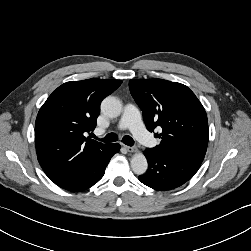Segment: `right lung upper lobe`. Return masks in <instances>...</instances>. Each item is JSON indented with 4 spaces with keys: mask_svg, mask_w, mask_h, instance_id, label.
<instances>
[{
    "mask_svg": "<svg viewBox=\"0 0 251 251\" xmlns=\"http://www.w3.org/2000/svg\"><path fill=\"white\" fill-rule=\"evenodd\" d=\"M121 80L87 79L62 84L40 108L35 122L37 158L43 170L72 169L110 144L86 139L93 131L101 101Z\"/></svg>",
    "mask_w": 251,
    "mask_h": 251,
    "instance_id": "cb5924a9",
    "label": "right lung upper lobe"
}]
</instances>
